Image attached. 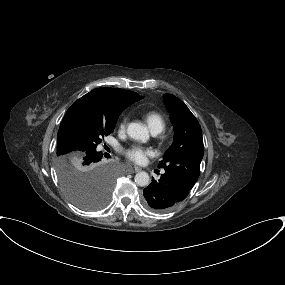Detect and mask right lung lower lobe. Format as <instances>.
Returning a JSON list of instances; mask_svg holds the SVG:
<instances>
[{"mask_svg": "<svg viewBox=\"0 0 285 285\" xmlns=\"http://www.w3.org/2000/svg\"><path fill=\"white\" fill-rule=\"evenodd\" d=\"M102 162V153L97 151H88L84 155V164L88 167H92L95 170H101L99 165Z\"/></svg>", "mask_w": 285, "mask_h": 285, "instance_id": "1", "label": "right lung lower lobe"}]
</instances>
